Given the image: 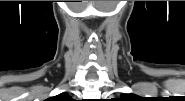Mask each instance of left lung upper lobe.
<instances>
[{"label": "left lung upper lobe", "instance_id": "1", "mask_svg": "<svg viewBox=\"0 0 185 101\" xmlns=\"http://www.w3.org/2000/svg\"><path fill=\"white\" fill-rule=\"evenodd\" d=\"M135 96L132 94H123L121 99H134Z\"/></svg>", "mask_w": 185, "mask_h": 101}]
</instances>
